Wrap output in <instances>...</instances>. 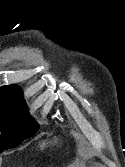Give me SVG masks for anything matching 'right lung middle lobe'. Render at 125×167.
<instances>
[{
	"label": "right lung middle lobe",
	"instance_id": "dd1d6c3e",
	"mask_svg": "<svg viewBox=\"0 0 125 167\" xmlns=\"http://www.w3.org/2000/svg\"><path fill=\"white\" fill-rule=\"evenodd\" d=\"M38 128L23 99L0 98V145L15 147L33 136Z\"/></svg>",
	"mask_w": 125,
	"mask_h": 167
}]
</instances>
